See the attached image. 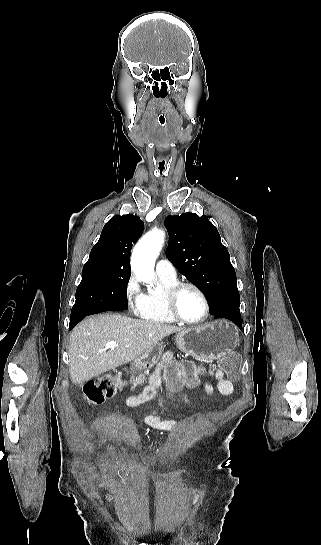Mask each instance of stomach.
I'll return each mask as SVG.
<instances>
[{"label":"stomach","mask_w":321,"mask_h":545,"mask_svg":"<svg viewBox=\"0 0 321 545\" xmlns=\"http://www.w3.org/2000/svg\"><path fill=\"white\" fill-rule=\"evenodd\" d=\"M175 343L178 349L194 359L215 361L231 353L239 345V331L230 321L219 319L203 327H191V329L179 331L176 333ZM162 353V345L156 343L155 347L130 363V373L134 375V373L148 371L158 363Z\"/></svg>","instance_id":"0dacf381"}]
</instances>
